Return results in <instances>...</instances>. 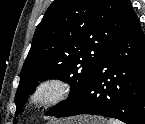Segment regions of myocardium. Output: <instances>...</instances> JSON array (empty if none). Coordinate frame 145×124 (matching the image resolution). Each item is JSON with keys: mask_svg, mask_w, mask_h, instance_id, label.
<instances>
[{"mask_svg": "<svg viewBox=\"0 0 145 124\" xmlns=\"http://www.w3.org/2000/svg\"><path fill=\"white\" fill-rule=\"evenodd\" d=\"M71 93L68 81L60 77L40 80L32 89L29 101L38 108H49L63 103Z\"/></svg>", "mask_w": 145, "mask_h": 124, "instance_id": "f54148a6", "label": "myocardium"}]
</instances>
